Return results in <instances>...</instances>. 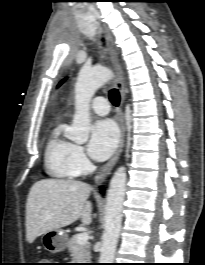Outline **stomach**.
Wrapping results in <instances>:
<instances>
[{"instance_id":"1","label":"stomach","mask_w":205,"mask_h":265,"mask_svg":"<svg viewBox=\"0 0 205 265\" xmlns=\"http://www.w3.org/2000/svg\"><path fill=\"white\" fill-rule=\"evenodd\" d=\"M42 243L51 253L62 252L67 247V236L60 229L51 230L43 234Z\"/></svg>"}]
</instances>
